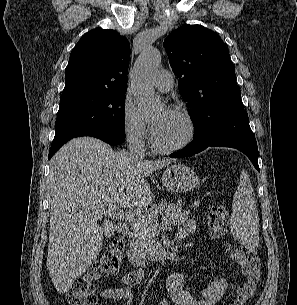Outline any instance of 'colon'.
<instances>
[{"label": "colon", "mask_w": 297, "mask_h": 305, "mask_svg": "<svg viewBox=\"0 0 297 305\" xmlns=\"http://www.w3.org/2000/svg\"><path fill=\"white\" fill-rule=\"evenodd\" d=\"M229 214L222 203L213 205L207 216L210 235L223 242L228 256L240 267L244 277L236 297L229 305H246L254 295L261 280V262L258 256L241 246L225 240ZM123 259V246L118 239L112 241L89 268L87 273L78 278L68 293L69 305H97L94 283L118 272Z\"/></svg>", "instance_id": "1"}]
</instances>
